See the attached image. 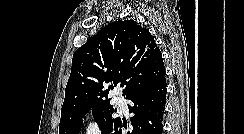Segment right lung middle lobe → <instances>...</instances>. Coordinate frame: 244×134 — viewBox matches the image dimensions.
<instances>
[{
  "mask_svg": "<svg viewBox=\"0 0 244 134\" xmlns=\"http://www.w3.org/2000/svg\"><path fill=\"white\" fill-rule=\"evenodd\" d=\"M89 111H92L94 120L102 130V134H105L117 118V108H113V106L109 104V101H106L88 108L77 116L61 119L59 124V134H79L83 124L82 119Z\"/></svg>",
  "mask_w": 244,
  "mask_h": 134,
  "instance_id": "obj_1",
  "label": "right lung middle lobe"
}]
</instances>
